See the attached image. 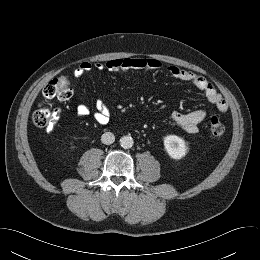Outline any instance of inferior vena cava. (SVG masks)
<instances>
[{"label": "inferior vena cava", "mask_w": 260, "mask_h": 260, "mask_svg": "<svg viewBox=\"0 0 260 260\" xmlns=\"http://www.w3.org/2000/svg\"><path fill=\"white\" fill-rule=\"evenodd\" d=\"M101 141L103 144H106V145L112 144L115 141V136L111 132H105L101 136Z\"/></svg>", "instance_id": "602c4592"}]
</instances>
